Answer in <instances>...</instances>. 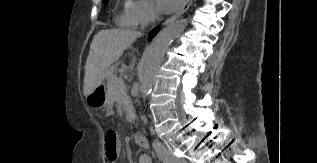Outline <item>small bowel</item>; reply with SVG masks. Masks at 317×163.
Here are the masks:
<instances>
[{"label":"small bowel","mask_w":317,"mask_h":163,"mask_svg":"<svg viewBox=\"0 0 317 163\" xmlns=\"http://www.w3.org/2000/svg\"><path fill=\"white\" fill-rule=\"evenodd\" d=\"M138 163H152V160L148 155L143 154L138 158Z\"/></svg>","instance_id":"obj_1"}]
</instances>
